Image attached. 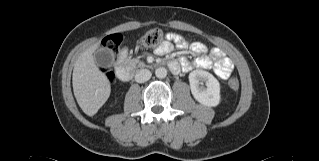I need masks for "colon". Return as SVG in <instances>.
Listing matches in <instances>:
<instances>
[{
	"instance_id": "obj_1",
	"label": "colon",
	"mask_w": 319,
	"mask_h": 161,
	"mask_svg": "<svg viewBox=\"0 0 319 161\" xmlns=\"http://www.w3.org/2000/svg\"><path fill=\"white\" fill-rule=\"evenodd\" d=\"M121 35L115 34L111 36L107 43L106 46L109 50V53L114 56L116 52L118 51V48L121 44ZM162 42V32L158 28L150 29L148 30L140 39V44L144 49H150L153 48L157 45H159ZM107 76L108 78H112V72L110 69L107 70ZM229 87L233 90L236 91L239 88V81L237 78L232 77L229 80Z\"/></svg>"
}]
</instances>
